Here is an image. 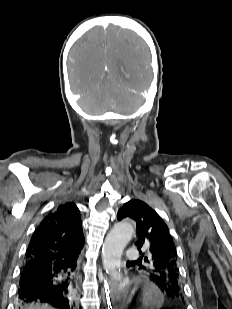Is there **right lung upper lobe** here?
<instances>
[{"label":"right lung upper lobe","mask_w":232,"mask_h":309,"mask_svg":"<svg viewBox=\"0 0 232 309\" xmlns=\"http://www.w3.org/2000/svg\"><path fill=\"white\" fill-rule=\"evenodd\" d=\"M84 246L80 211L74 203L60 205L35 229L26 262L47 268L54 262H74Z\"/></svg>","instance_id":"right-lung-upper-lobe-1"}]
</instances>
